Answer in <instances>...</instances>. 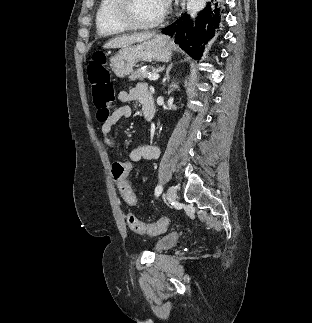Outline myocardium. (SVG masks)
<instances>
[{"label": "myocardium", "instance_id": "f54148a6", "mask_svg": "<svg viewBox=\"0 0 312 323\" xmlns=\"http://www.w3.org/2000/svg\"><path fill=\"white\" fill-rule=\"evenodd\" d=\"M130 0H115L114 8L111 9V14L117 18L120 25H127L128 31H146V27H152V25H161V18H150L149 20H138L137 16H133L132 12H129ZM164 11L169 13L171 11V3H164Z\"/></svg>", "mask_w": 312, "mask_h": 323}]
</instances>
